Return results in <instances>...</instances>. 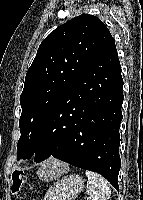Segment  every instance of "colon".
<instances>
[{
	"instance_id": "obj_1",
	"label": "colon",
	"mask_w": 143,
	"mask_h": 200,
	"mask_svg": "<svg viewBox=\"0 0 143 200\" xmlns=\"http://www.w3.org/2000/svg\"><path fill=\"white\" fill-rule=\"evenodd\" d=\"M26 181V175L23 171L15 170L12 173V190L14 193L20 191Z\"/></svg>"
}]
</instances>
